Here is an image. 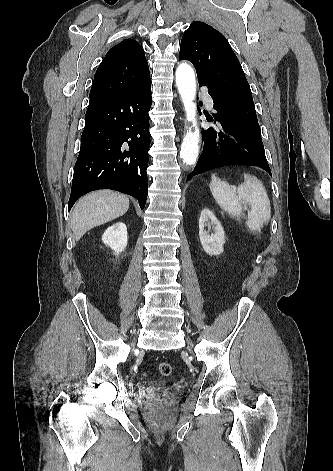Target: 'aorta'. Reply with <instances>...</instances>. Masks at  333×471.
Wrapping results in <instances>:
<instances>
[{
    "label": "aorta",
    "mask_w": 333,
    "mask_h": 471,
    "mask_svg": "<svg viewBox=\"0 0 333 471\" xmlns=\"http://www.w3.org/2000/svg\"><path fill=\"white\" fill-rule=\"evenodd\" d=\"M176 84L184 104L187 121L192 123L194 130L189 128L181 145L180 158L187 165H193L199 154L200 132L196 119V80L192 67L181 63L176 69Z\"/></svg>",
    "instance_id": "762f6f07"
}]
</instances>
